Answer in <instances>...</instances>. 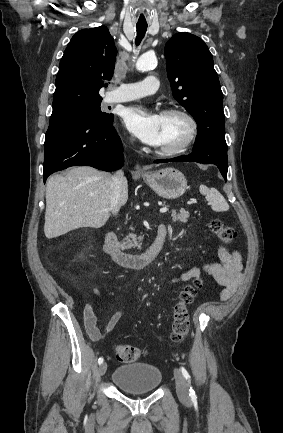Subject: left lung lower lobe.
I'll return each instance as SVG.
<instances>
[{
    "mask_svg": "<svg viewBox=\"0 0 283 433\" xmlns=\"http://www.w3.org/2000/svg\"><path fill=\"white\" fill-rule=\"evenodd\" d=\"M173 161H194L198 163L215 164L225 181L227 179L228 160L227 144L225 141V130L218 127H207L198 130L193 152L172 159L155 160V163H166Z\"/></svg>",
    "mask_w": 283,
    "mask_h": 433,
    "instance_id": "1",
    "label": "left lung lower lobe"
}]
</instances>
